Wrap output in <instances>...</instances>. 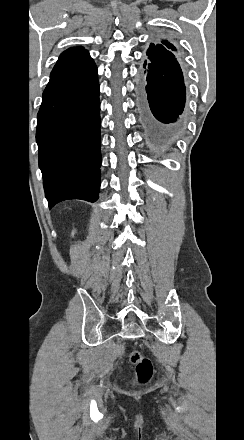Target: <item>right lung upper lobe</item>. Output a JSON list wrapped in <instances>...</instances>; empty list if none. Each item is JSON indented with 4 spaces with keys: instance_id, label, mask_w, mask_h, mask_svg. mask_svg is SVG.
I'll return each instance as SVG.
<instances>
[{
    "instance_id": "obj_1",
    "label": "right lung upper lobe",
    "mask_w": 244,
    "mask_h": 440,
    "mask_svg": "<svg viewBox=\"0 0 244 440\" xmlns=\"http://www.w3.org/2000/svg\"><path fill=\"white\" fill-rule=\"evenodd\" d=\"M73 63H77L80 65H87V64H93L94 62L90 57L88 51L85 50L83 47L79 46L64 51L59 57L54 68H58Z\"/></svg>"
}]
</instances>
